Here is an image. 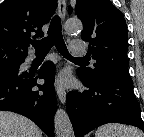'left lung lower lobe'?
I'll return each instance as SVG.
<instances>
[{"instance_id":"1","label":"left lung lower lobe","mask_w":144,"mask_h":137,"mask_svg":"<svg viewBox=\"0 0 144 137\" xmlns=\"http://www.w3.org/2000/svg\"><path fill=\"white\" fill-rule=\"evenodd\" d=\"M86 90L67 94L66 108L75 137L106 123L133 125L144 131L140 105L133 92V82L108 75L85 80L79 74Z\"/></svg>"}]
</instances>
